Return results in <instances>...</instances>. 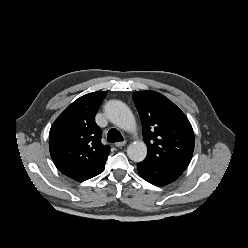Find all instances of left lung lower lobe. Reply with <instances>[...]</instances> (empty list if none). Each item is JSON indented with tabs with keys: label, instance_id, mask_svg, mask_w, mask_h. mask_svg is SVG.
<instances>
[{
	"label": "left lung lower lobe",
	"instance_id": "0a47b994",
	"mask_svg": "<svg viewBox=\"0 0 248 248\" xmlns=\"http://www.w3.org/2000/svg\"><path fill=\"white\" fill-rule=\"evenodd\" d=\"M137 168L142 178L157 186L170 184L183 173V171L164 167L146 159L137 163Z\"/></svg>",
	"mask_w": 248,
	"mask_h": 248
}]
</instances>
